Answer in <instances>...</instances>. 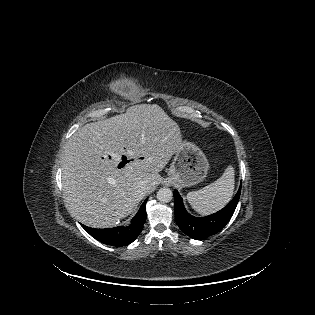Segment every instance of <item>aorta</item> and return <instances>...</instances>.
<instances>
[{
    "instance_id": "1",
    "label": "aorta",
    "mask_w": 315,
    "mask_h": 315,
    "mask_svg": "<svg viewBox=\"0 0 315 315\" xmlns=\"http://www.w3.org/2000/svg\"><path fill=\"white\" fill-rule=\"evenodd\" d=\"M173 193L169 188H161L157 192V199L162 203H168L172 200Z\"/></svg>"
}]
</instances>
